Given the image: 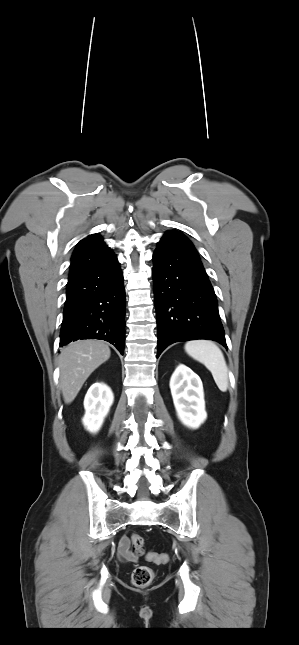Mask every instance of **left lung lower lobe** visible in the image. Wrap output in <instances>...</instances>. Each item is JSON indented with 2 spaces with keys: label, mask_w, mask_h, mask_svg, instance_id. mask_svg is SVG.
I'll list each match as a JSON object with an SVG mask.
<instances>
[{
  "label": "left lung lower lobe",
  "mask_w": 299,
  "mask_h": 645,
  "mask_svg": "<svg viewBox=\"0 0 299 645\" xmlns=\"http://www.w3.org/2000/svg\"><path fill=\"white\" fill-rule=\"evenodd\" d=\"M158 353L175 342L210 339L227 347L214 289L192 242L168 231L153 253Z\"/></svg>",
  "instance_id": "0a47b994"
}]
</instances>
